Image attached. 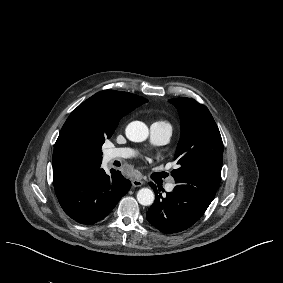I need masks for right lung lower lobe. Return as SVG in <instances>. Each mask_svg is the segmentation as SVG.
I'll return each instance as SVG.
<instances>
[{
    "mask_svg": "<svg viewBox=\"0 0 283 283\" xmlns=\"http://www.w3.org/2000/svg\"><path fill=\"white\" fill-rule=\"evenodd\" d=\"M111 174L98 166L68 185L55 188L66 214L82 224H93L106 217L131 187L120 171L111 170Z\"/></svg>",
    "mask_w": 283,
    "mask_h": 283,
    "instance_id": "right-lung-lower-lobe-1",
    "label": "right lung lower lobe"
}]
</instances>
